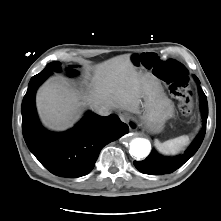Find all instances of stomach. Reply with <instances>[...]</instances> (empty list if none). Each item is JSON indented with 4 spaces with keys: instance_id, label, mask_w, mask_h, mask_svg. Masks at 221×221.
Returning a JSON list of instances; mask_svg holds the SVG:
<instances>
[{
    "instance_id": "stomach-1",
    "label": "stomach",
    "mask_w": 221,
    "mask_h": 221,
    "mask_svg": "<svg viewBox=\"0 0 221 221\" xmlns=\"http://www.w3.org/2000/svg\"><path fill=\"white\" fill-rule=\"evenodd\" d=\"M143 99L141 110L135 112L141 124L152 133L161 132L165 122L173 116L174 105L165 95L159 80L150 79Z\"/></svg>"
}]
</instances>
